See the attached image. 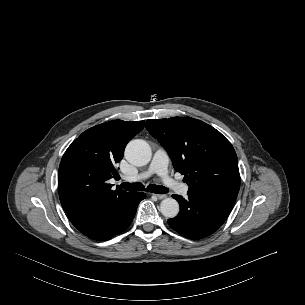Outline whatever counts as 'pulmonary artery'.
Returning a JSON list of instances; mask_svg holds the SVG:
<instances>
[{
  "label": "pulmonary artery",
  "mask_w": 305,
  "mask_h": 305,
  "mask_svg": "<svg viewBox=\"0 0 305 305\" xmlns=\"http://www.w3.org/2000/svg\"><path fill=\"white\" fill-rule=\"evenodd\" d=\"M168 164L169 157L167 152L162 148H158L154 152L152 161L147 171L134 177H126L124 178V180L138 181L141 179H145L152 174H157L168 187L172 188L181 195H186L188 192V186L186 184L174 180L168 175Z\"/></svg>",
  "instance_id": "e3ab8cb5"
}]
</instances>
